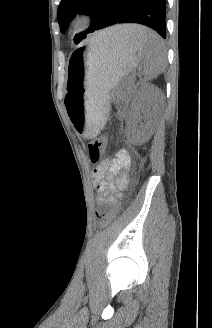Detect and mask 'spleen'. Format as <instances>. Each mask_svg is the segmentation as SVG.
I'll list each match as a JSON object with an SVG mask.
<instances>
[{
  "label": "spleen",
  "mask_w": 212,
  "mask_h": 328,
  "mask_svg": "<svg viewBox=\"0 0 212 328\" xmlns=\"http://www.w3.org/2000/svg\"><path fill=\"white\" fill-rule=\"evenodd\" d=\"M133 41L142 52L145 79L156 78L163 71L166 60L163 40L155 32L135 25Z\"/></svg>",
  "instance_id": "3e777b00"
}]
</instances>
